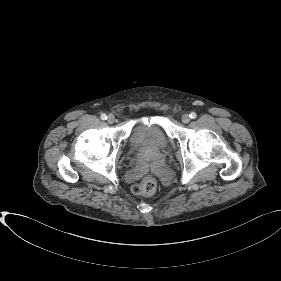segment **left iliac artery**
Returning a JSON list of instances; mask_svg holds the SVG:
<instances>
[{"label": "left iliac artery", "mask_w": 281, "mask_h": 281, "mask_svg": "<svg viewBox=\"0 0 281 281\" xmlns=\"http://www.w3.org/2000/svg\"><path fill=\"white\" fill-rule=\"evenodd\" d=\"M189 116L191 119H195L197 117V114L195 112H191Z\"/></svg>", "instance_id": "44dca946"}]
</instances>
